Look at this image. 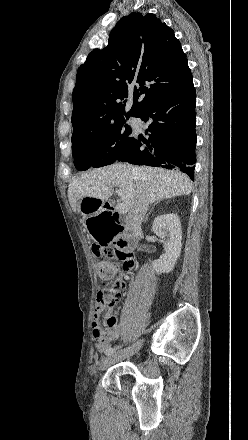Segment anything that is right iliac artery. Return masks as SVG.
<instances>
[{
	"instance_id": "82829eb1",
	"label": "right iliac artery",
	"mask_w": 248,
	"mask_h": 440,
	"mask_svg": "<svg viewBox=\"0 0 248 440\" xmlns=\"http://www.w3.org/2000/svg\"><path fill=\"white\" fill-rule=\"evenodd\" d=\"M114 351H115L114 348H108V349L105 351V354H106V355H110V354H112Z\"/></svg>"
}]
</instances>
